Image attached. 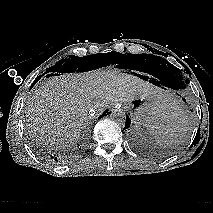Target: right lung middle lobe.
<instances>
[{
  "label": "right lung middle lobe",
  "instance_id": "right-lung-middle-lobe-1",
  "mask_svg": "<svg viewBox=\"0 0 213 213\" xmlns=\"http://www.w3.org/2000/svg\"><path fill=\"white\" fill-rule=\"evenodd\" d=\"M126 55L112 51L105 54H95L84 57H77L70 55L68 59H62L57 62L54 66L49 68L47 72L53 73H69V72H85L93 69H97L110 64H119L124 60ZM125 63V62H124ZM123 63V64H124Z\"/></svg>",
  "mask_w": 213,
  "mask_h": 213
}]
</instances>
